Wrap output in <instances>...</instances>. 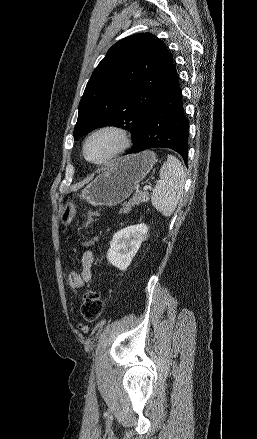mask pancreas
Segmentation results:
<instances>
[{
	"instance_id": "cf45deb5",
	"label": "pancreas",
	"mask_w": 257,
	"mask_h": 439,
	"mask_svg": "<svg viewBox=\"0 0 257 439\" xmlns=\"http://www.w3.org/2000/svg\"><path fill=\"white\" fill-rule=\"evenodd\" d=\"M149 200L148 193H136L133 198H131L128 202L123 205V208L120 210V213H128L131 211V208L135 205H139L140 203H145Z\"/></svg>"
}]
</instances>
